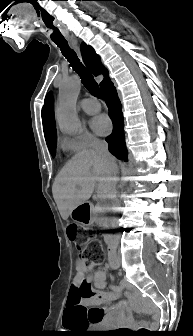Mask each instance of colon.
Segmentation results:
<instances>
[{"label":"colon","instance_id":"1","mask_svg":"<svg viewBox=\"0 0 193 336\" xmlns=\"http://www.w3.org/2000/svg\"><path fill=\"white\" fill-rule=\"evenodd\" d=\"M67 237L72 241L78 250L80 258L83 260H96L101 256L100 243L95 239L83 241L80 238L81 230L75 223H70L66 227ZM93 295L92 288L88 287L82 291L83 297H91ZM137 336H149L150 333L146 330L136 331Z\"/></svg>","mask_w":193,"mask_h":336}]
</instances>
